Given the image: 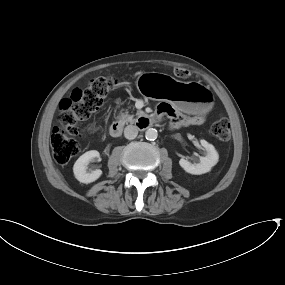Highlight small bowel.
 Segmentation results:
<instances>
[{"mask_svg":"<svg viewBox=\"0 0 285 285\" xmlns=\"http://www.w3.org/2000/svg\"><path fill=\"white\" fill-rule=\"evenodd\" d=\"M156 114L159 120L164 118H172L171 126H188L192 124H196L201 120L200 117H190V116H179L174 114V110L170 105L161 104L157 107Z\"/></svg>","mask_w":285,"mask_h":285,"instance_id":"1","label":"small bowel"}]
</instances>
